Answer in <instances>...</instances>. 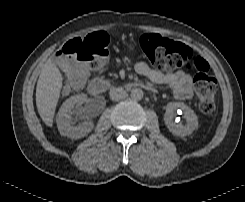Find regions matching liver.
<instances>
[{"instance_id":"1","label":"liver","mask_w":245,"mask_h":202,"mask_svg":"<svg viewBox=\"0 0 245 202\" xmlns=\"http://www.w3.org/2000/svg\"><path fill=\"white\" fill-rule=\"evenodd\" d=\"M63 86V76L56 65L47 61L41 71L36 88V106L43 122L53 125L55 109Z\"/></svg>"}]
</instances>
